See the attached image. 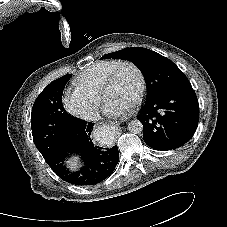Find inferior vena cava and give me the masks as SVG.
<instances>
[{"instance_id": "inferior-vena-cava-1", "label": "inferior vena cava", "mask_w": 227, "mask_h": 227, "mask_svg": "<svg viewBox=\"0 0 227 227\" xmlns=\"http://www.w3.org/2000/svg\"><path fill=\"white\" fill-rule=\"evenodd\" d=\"M100 117H101L100 114L94 110H90L86 112L83 116L85 120H89V121H97L100 119Z\"/></svg>"}]
</instances>
